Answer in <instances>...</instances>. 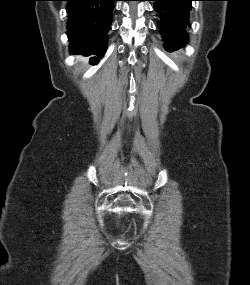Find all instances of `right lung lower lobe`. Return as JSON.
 Segmentation results:
<instances>
[{"instance_id":"obj_1","label":"right lung lower lobe","mask_w":250,"mask_h":285,"mask_svg":"<svg viewBox=\"0 0 250 285\" xmlns=\"http://www.w3.org/2000/svg\"><path fill=\"white\" fill-rule=\"evenodd\" d=\"M68 1L67 35L70 53L91 57L95 64L107 48L108 32L112 21V10L116 0H65Z\"/></svg>"}]
</instances>
